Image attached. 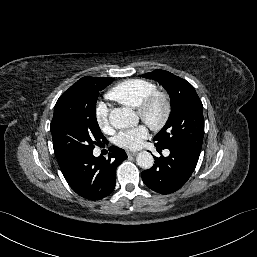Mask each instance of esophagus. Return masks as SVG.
Segmentation results:
<instances>
[{"mask_svg": "<svg viewBox=\"0 0 257 257\" xmlns=\"http://www.w3.org/2000/svg\"><path fill=\"white\" fill-rule=\"evenodd\" d=\"M138 152L127 151L128 156H136Z\"/></svg>", "mask_w": 257, "mask_h": 257, "instance_id": "1", "label": "esophagus"}]
</instances>
